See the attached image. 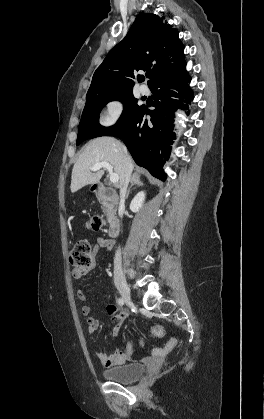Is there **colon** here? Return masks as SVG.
I'll list each match as a JSON object with an SVG mask.
<instances>
[{
	"label": "colon",
	"mask_w": 264,
	"mask_h": 419,
	"mask_svg": "<svg viewBox=\"0 0 264 419\" xmlns=\"http://www.w3.org/2000/svg\"><path fill=\"white\" fill-rule=\"evenodd\" d=\"M105 222L100 216H93L89 222L88 227L94 231L100 230L104 227ZM70 264L76 268H91L94 263V255L90 243L86 240H79L74 245L69 255ZM159 334L157 330L151 331V336L156 338ZM144 341H140L143 345Z\"/></svg>",
	"instance_id": "1"
}]
</instances>
